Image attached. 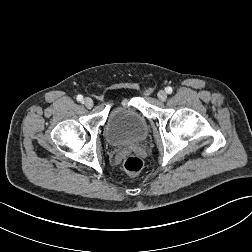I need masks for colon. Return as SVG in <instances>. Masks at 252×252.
<instances>
[{"label":"colon","mask_w":252,"mask_h":252,"mask_svg":"<svg viewBox=\"0 0 252 252\" xmlns=\"http://www.w3.org/2000/svg\"><path fill=\"white\" fill-rule=\"evenodd\" d=\"M143 168V161L135 155L126 157L123 161V169L130 175L138 174Z\"/></svg>","instance_id":"5ec220e1"}]
</instances>
